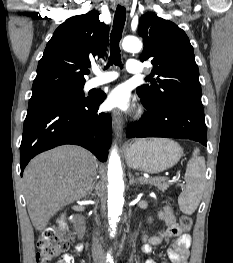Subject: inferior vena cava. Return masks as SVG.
<instances>
[{
  "instance_id": "obj_1",
  "label": "inferior vena cava",
  "mask_w": 233,
  "mask_h": 263,
  "mask_svg": "<svg viewBox=\"0 0 233 263\" xmlns=\"http://www.w3.org/2000/svg\"><path fill=\"white\" fill-rule=\"evenodd\" d=\"M92 255H93L94 263H105L103 250L97 237H94L93 240Z\"/></svg>"
}]
</instances>
